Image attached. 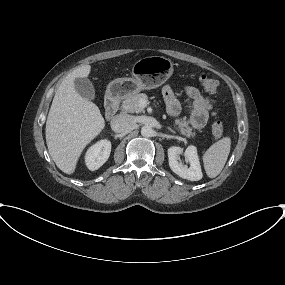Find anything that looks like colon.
Wrapping results in <instances>:
<instances>
[{"instance_id":"1","label":"colon","mask_w":285,"mask_h":285,"mask_svg":"<svg viewBox=\"0 0 285 285\" xmlns=\"http://www.w3.org/2000/svg\"><path fill=\"white\" fill-rule=\"evenodd\" d=\"M200 82H201V85L203 86V88L211 93V94H217L220 90V87H219V83L217 80L215 79H212L206 75H202L200 77ZM223 124L222 122H220L219 120H216L213 125H212V134H213V137L217 140V139H220L223 135Z\"/></svg>"}]
</instances>
